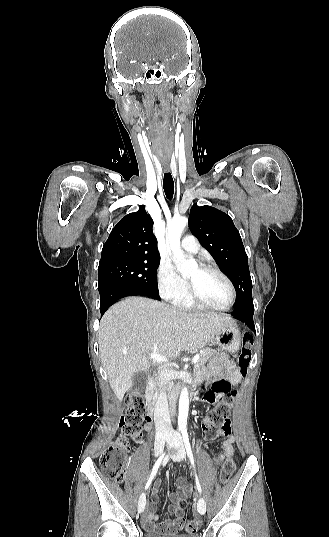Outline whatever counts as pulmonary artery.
Wrapping results in <instances>:
<instances>
[{"label":"pulmonary artery","instance_id":"pulmonary-artery-1","mask_svg":"<svg viewBox=\"0 0 329 537\" xmlns=\"http://www.w3.org/2000/svg\"><path fill=\"white\" fill-rule=\"evenodd\" d=\"M181 247L192 253H197L199 251V243L193 235L185 236L181 241Z\"/></svg>","mask_w":329,"mask_h":537}]
</instances>
